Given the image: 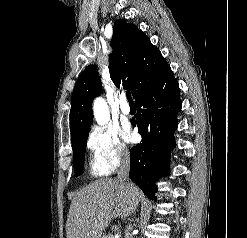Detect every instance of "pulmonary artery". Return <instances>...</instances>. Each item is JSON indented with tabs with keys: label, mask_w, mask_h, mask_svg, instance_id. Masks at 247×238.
Returning <instances> with one entry per match:
<instances>
[{
	"label": "pulmonary artery",
	"mask_w": 247,
	"mask_h": 238,
	"mask_svg": "<svg viewBox=\"0 0 247 238\" xmlns=\"http://www.w3.org/2000/svg\"><path fill=\"white\" fill-rule=\"evenodd\" d=\"M120 110L124 115H129L131 112L130 106L127 103L126 97L124 95L120 97Z\"/></svg>",
	"instance_id": "1"
}]
</instances>
